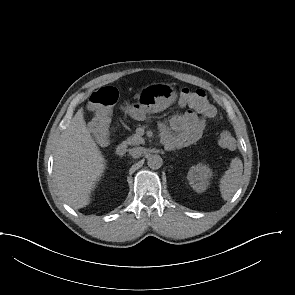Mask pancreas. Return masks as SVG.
Here are the masks:
<instances>
[{
  "label": "pancreas",
  "instance_id": "cf45deb5",
  "mask_svg": "<svg viewBox=\"0 0 295 295\" xmlns=\"http://www.w3.org/2000/svg\"><path fill=\"white\" fill-rule=\"evenodd\" d=\"M144 142H145L144 139L138 134H133V136L129 137L125 141L126 144L132 145V146L143 144Z\"/></svg>",
  "mask_w": 295,
  "mask_h": 295
}]
</instances>
